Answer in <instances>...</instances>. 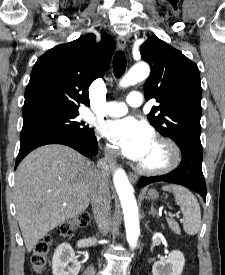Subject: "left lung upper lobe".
I'll use <instances>...</instances> for the list:
<instances>
[{
    "label": "left lung upper lobe",
    "instance_id": "5c2ea615",
    "mask_svg": "<svg viewBox=\"0 0 225 275\" xmlns=\"http://www.w3.org/2000/svg\"><path fill=\"white\" fill-rule=\"evenodd\" d=\"M141 57L151 66L145 99L160 103L147 115L151 125L180 149L201 145L202 88L197 65L156 36L142 44Z\"/></svg>",
    "mask_w": 225,
    "mask_h": 275
}]
</instances>
